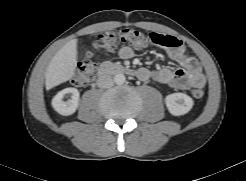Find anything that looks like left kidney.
Listing matches in <instances>:
<instances>
[{"mask_svg": "<svg viewBox=\"0 0 246 181\" xmlns=\"http://www.w3.org/2000/svg\"><path fill=\"white\" fill-rule=\"evenodd\" d=\"M165 104L172 115L181 116L191 110L194 102L190 96L184 93H173L166 96Z\"/></svg>", "mask_w": 246, "mask_h": 181, "instance_id": "obj_1", "label": "left kidney"}]
</instances>
